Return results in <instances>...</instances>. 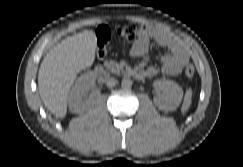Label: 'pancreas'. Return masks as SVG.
Masks as SVG:
<instances>
[{
  "label": "pancreas",
  "instance_id": "pancreas-1",
  "mask_svg": "<svg viewBox=\"0 0 243 167\" xmlns=\"http://www.w3.org/2000/svg\"><path fill=\"white\" fill-rule=\"evenodd\" d=\"M104 66L106 69L112 73L119 74L122 71V67L117 63L112 60L110 61H105Z\"/></svg>",
  "mask_w": 243,
  "mask_h": 167
}]
</instances>
